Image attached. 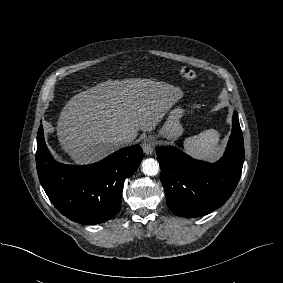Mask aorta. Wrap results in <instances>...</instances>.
I'll list each match as a JSON object with an SVG mask.
<instances>
[{"label":"aorta","instance_id":"obj_1","mask_svg":"<svg viewBox=\"0 0 283 283\" xmlns=\"http://www.w3.org/2000/svg\"><path fill=\"white\" fill-rule=\"evenodd\" d=\"M142 172L147 176H155L159 172V163L153 158H147L142 162Z\"/></svg>","mask_w":283,"mask_h":283}]
</instances>
